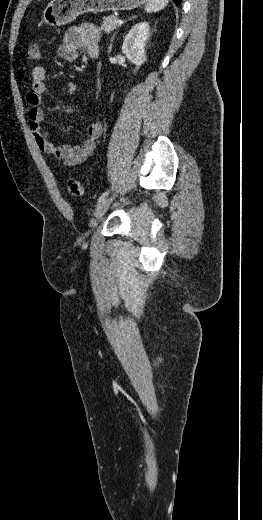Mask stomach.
Listing matches in <instances>:
<instances>
[{
  "label": "stomach",
  "mask_w": 263,
  "mask_h": 520,
  "mask_svg": "<svg viewBox=\"0 0 263 520\" xmlns=\"http://www.w3.org/2000/svg\"><path fill=\"white\" fill-rule=\"evenodd\" d=\"M147 0H51L43 11V21L52 27L66 25L84 13L131 10Z\"/></svg>",
  "instance_id": "stomach-1"
}]
</instances>
